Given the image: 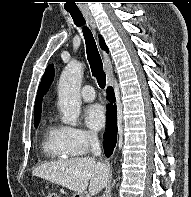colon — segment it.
Returning <instances> with one entry per match:
<instances>
[{
    "label": "colon",
    "mask_w": 191,
    "mask_h": 197,
    "mask_svg": "<svg viewBox=\"0 0 191 197\" xmlns=\"http://www.w3.org/2000/svg\"><path fill=\"white\" fill-rule=\"evenodd\" d=\"M43 197H55V195H53L51 193H44Z\"/></svg>",
    "instance_id": "1"
}]
</instances>
